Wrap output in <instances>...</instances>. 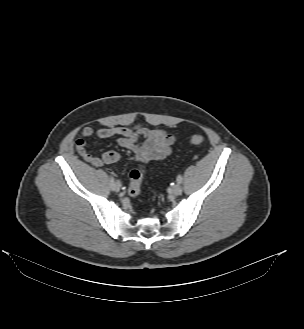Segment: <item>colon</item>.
I'll list each match as a JSON object with an SVG mask.
<instances>
[{"label": "colon", "instance_id": "colon-1", "mask_svg": "<svg viewBox=\"0 0 304 329\" xmlns=\"http://www.w3.org/2000/svg\"><path fill=\"white\" fill-rule=\"evenodd\" d=\"M205 142V137L202 134H195L189 138V144L199 146ZM145 174V167L140 165L130 172V183L128 187L129 195L136 197L141 192V182Z\"/></svg>", "mask_w": 304, "mask_h": 329}]
</instances>
